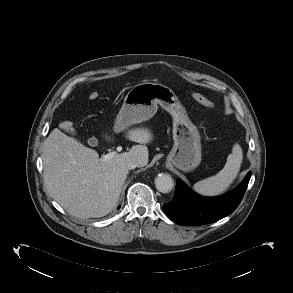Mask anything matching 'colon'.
<instances>
[{"instance_id": "obj_1", "label": "colon", "mask_w": 293, "mask_h": 293, "mask_svg": "<svg viewBox=\"0 0 293 293\" xmlns=\"http://www.w3.org/2000/svg\"><path fill=\"white\" fill-rule=\"evenodd\" d=\"M99 96V93L96 91H93L89 94V99L94 100L97 99ZM192 97L195 101L203 105L207 108H214V103L208 99L206 96L202 95L201 93L195 92L192 94ZM61 129L64 131H69L72 128V123L70 121H64L61 123Z\"/></svg>"}]
</instances>
